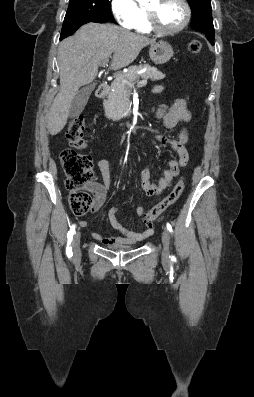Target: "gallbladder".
Returning a JSON list of instances; mask_svg holds the SVG:
<instances>
[{
  "label": "gallbladder",
  "instance_id": "gallbladder-1",
  "mask_svg": "<svg viewBox=\"0 0 254 397\" xmlns=\"http://www.w3.org/2000/svg\"><path fill=\"white\" fill-rule=\"evenodd\" d=\"M94 88L95 84H89L77 92L70 105L69 117L74 118L81 114Z\"/></svg>",
  "mask_w": 254,
  "mask_h": 397
}]
</instances>
